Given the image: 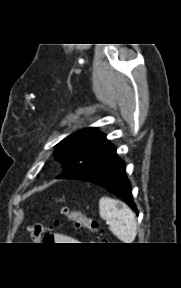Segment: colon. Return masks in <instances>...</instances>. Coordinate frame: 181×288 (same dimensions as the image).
<instances>
[{
    "instance_id": "5ec220e1",
    "label": "colon",
    "mask_w": 181,
    "mask_h": 288,
    "mask_svg": "<svg viewBox=\"0 0 181 288\" xmlns=\"http://www.w3.org/2000/svg\"><path fill=\"white\" fill-rule=\"evenodd\" d=\"M61 216L71 222L77 228H86L92 233L102 236L103 230L100 228L98 221L87 217L81 211L70 210L68 208H63L61 210ZM58 221L54 222V225H57ZM50 226L43 224H35L29 227L28 231L30 238L33 242H50L52 234L49 232Z\"/></svg>"
}]
</instances>
